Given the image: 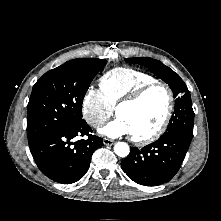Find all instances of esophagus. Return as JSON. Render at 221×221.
<instances>
[{
    "label": "esophagus",
    "instance_id": "esophagus-1",
    "mask_svg": "<svg viewBox=\"0 0 221 221\" xmlns=\"http://www.w3.org/2000/svg\"><path fill=\"white\" fill-rule=\"evenodd\" d=\"M115 143V141L111 140V139H108V138H104L103 139V144L106 145V146H111Z\"/></svg>",
    "mask_w": 221,
    "mask_h": 221
}]
</instances>
